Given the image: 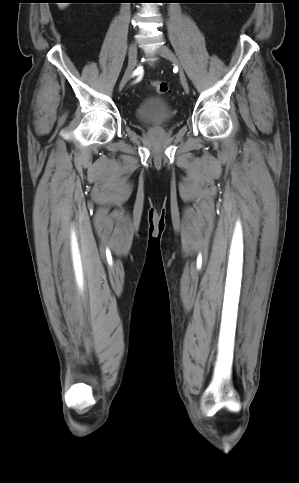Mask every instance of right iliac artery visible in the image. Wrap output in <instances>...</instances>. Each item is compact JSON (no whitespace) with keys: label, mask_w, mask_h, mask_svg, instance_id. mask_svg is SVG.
Wrapping results in <instances>:
<instances>
[{"label":"right iliac artery","mask_w":299,"mask_h":483,"mask_svg":"<svg viewBox=\"0 0 299 483\" xmlns=\"http://www.w3.org/2000/svg\"><path fill=\"white\" fill-rule=\"evenodd\" d=\"M140 69H141V68H140V67H138V68H137V71H138V70H140Z\"/></svg>","instance_id":"obj_1"}]
</instances>
